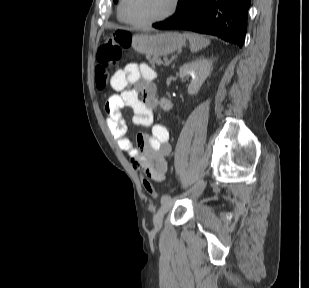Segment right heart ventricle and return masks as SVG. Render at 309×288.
Listing matches in <instances>:
<instances>
[{"mask_svg": "<svg viewBox=\"0 0 309 288\" xmlns=\"http://www.w3.org/2000/svg\"><path fill=\"white\" fill-rule=\"evenodd\" d=\"M117 16H118V19L121 21V22H124L121 15H120V3L118 5V8H117Z\"/></svg>", "mask_w": 309, "mask_h": 288, "instance_id": "right-heart-ventricle-1", "label": "right heart ventricle"}]
</instances>
